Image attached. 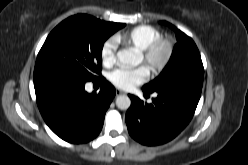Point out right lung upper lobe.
Listing matches in <instances>:
<instances>
[{
	"label": "right lung upper lobe",
	"instance_id": "cb5924a9",
	"mask_svg": "<svg viewBox=\"0 0 248 165\" xmlns=\"http://www.w3.org/2000/svg\"><path fill=\"white\" fill-rule=\"evenodd\" d=\"M78 15H81L85 18H87L88 20H90L91 22L95 23V24H98V25H101V26H114L115 24L117 23H114V22H105V21H101V20H98L92 16H89V15H85V14H78Z\"/></svg>",
	"mask_w": 248,
	"mask_h": 165
}]
</instances>
